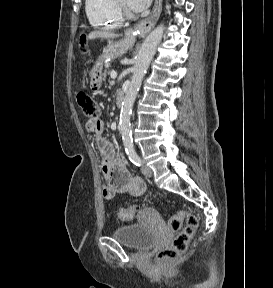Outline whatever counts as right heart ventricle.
I'll use <instances>...</instances> for the list:
<instances>
[{
  "instance_id": "e07e8e85",
  "label": "right heart ventricle",
  "mask_w": 273,
  "mask_h": 288,
  "mask_svg": "<svg viewBox=\"0 0 273 288\" xmlns=\"http://www.w3.org/2000/svg\"><path fill=\"white\" fill-rule=\"evenodd\" d=\"M85 10L90 24L100 29H118L123 23L115 0H86Z\"/></svg>"
}]
</instances>
